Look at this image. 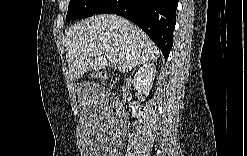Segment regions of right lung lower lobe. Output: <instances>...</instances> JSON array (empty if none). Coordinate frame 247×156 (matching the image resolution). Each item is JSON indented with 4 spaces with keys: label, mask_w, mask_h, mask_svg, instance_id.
Returning <instances> with one entry per match:
<instances>
[{
    "label": "right lung lower lobe",
    "mask_w": 247,
    "mask_h": 156,
    "mask_svg": "<svg viewBox=\"0 0 247 156\" xmlns=\"http://www.w3.org/2000/svg\"><path fill=\"white\" fill-rule=\"evenodd\" d=\"M177 0H107L96 14L112 13L138 25L168 58L173 45Z\"/></svg>",
    "instance_id": "1"
}]
</instances>
